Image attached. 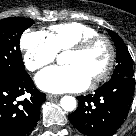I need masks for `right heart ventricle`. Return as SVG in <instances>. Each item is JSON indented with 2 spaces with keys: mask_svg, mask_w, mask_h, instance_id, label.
<instances>
[{
  "mask_svg": "<svg viewBox=\"0 0 136 136\" xmlns=\"http://www.w3.org/2000/svg\"><path fill=\"white\" fill-rule=\"evenodd\" d=\"M98 34V31L81 22H65L51 25L47 36L57 52L67 51L80 40Z\"/></svg>",
  "mask_w": 136,
  "mask_h": 136,
  "instance_id": "1",
  "label": "right heart ventricle"
}]
</instances>
